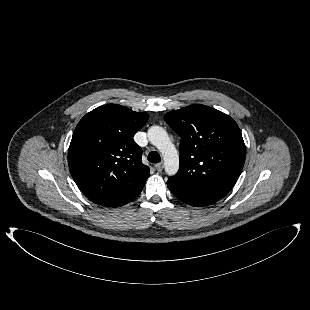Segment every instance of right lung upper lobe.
Masks as SVG:
<instances>
[{
  "instance_id": "obj_1",
  "label": "right lung upper lobe",
  "mask_w": 310,
  "mask_h": 310,
  "mask_svg": "<svg viewBox=\"0 0 310 310\" xmlns=\"http://www.w3.org/2000/svg\"><path fill=\"white\" fill-rule=\"evenodd\" d=\"M149 115L117 104L100 106L78 123L68 150L70 173L91 201L119 207L134 200L149 177L133 136Z\"/></svg>"
}]
</instances>
